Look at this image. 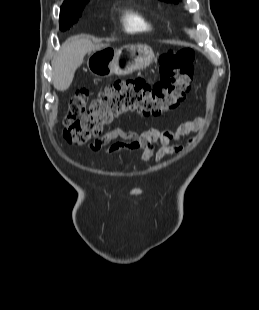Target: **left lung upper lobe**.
<instances>
[{
	"mask_svg": "<svg viewBox=\"0 0 259 310\" xmlns=\"http://www.w3.org/2000/svg\"><path fill=\"white\" fill-rule=\"evenodd\" d=\"M162 1L174 2V3H178L179 2V0H162Z\"/></svg>",
	"mask_w": 259,
	"mask_h": 310,
	"instance_id": "1",
	"label": "left lung upper lobe"
}]
</instances>
